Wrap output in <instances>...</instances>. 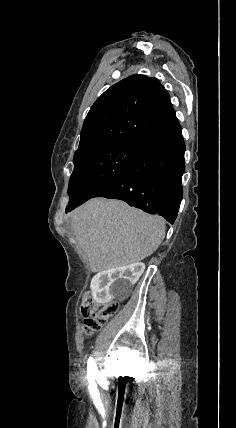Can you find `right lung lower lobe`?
<instances>
[{
    "instance_id": "98d812e1",
    "label": "right lung lower lobe",
    "mask_w": 236,
    "mask_h": 428,
    "mask_svg": "<svg viewBox=\"0 0 236 428\" xmlns=\"http://www.w3.org/2000/svg\"><path fill=\"white\" fill-rule=\"evenodd\" d=\"M184 152L181 126L174 115L139 139L129 165L95 197L120 199L174 223L183 196Z\"/></svg>"
}]
</instances>
